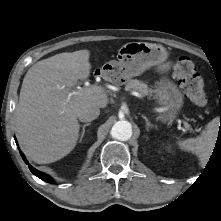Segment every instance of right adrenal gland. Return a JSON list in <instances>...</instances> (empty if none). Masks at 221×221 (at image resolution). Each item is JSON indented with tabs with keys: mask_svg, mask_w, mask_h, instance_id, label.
<instances>
[{
	"mask_svg": "<svg viewBox=\"0 0 221 221\" xmlns=\"http://www.w3.org/2000/svg\"><path fill=\"white\" fill-rule=\"evenodd\" d=\"M90 124H91V123L89 122V123H86V124H84V125L82 126V133H81L79 142L82 141V139H83V137H84V135H85V128H86L87 126H89Z\"/></svg>",
	"mask_w": 221,
	"mask_h": 221,
	"instance_id": "1",
	"label": "right adrenal gland"
}]
</instances>
